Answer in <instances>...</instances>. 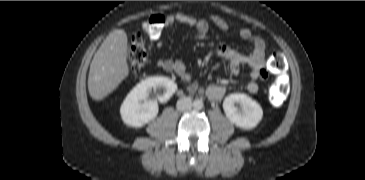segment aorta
Here are the masks:
<instances>
[{"label": "aorta", "instance_id": "1", "mask_svg": "<svg viewBox=\"0 0 365 180\" xmlns=\"http://www.w3.org/2000/svg\"><path fill=\"white\" fill-rule=\"evenodd\" d=\"M193 107L195 109H197V110L202 109L203 108V102H202V100H199V99L194 100Z\"/></svg>", "mask_w": 365, "mask_h": 180}]
</instances>
